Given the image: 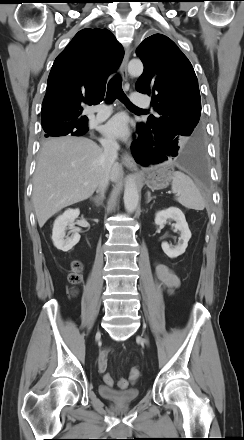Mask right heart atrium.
<instances>
[{
    "mask_svg": "<svg viewBox=\"0 0 244 440\" xmlns=\"http://www.w3.org/2000/svg\"><path fill=\"white\" fill-rule=\"evenodd\" d=\"M102 142H103L104 144H106V145H111V144H112L111 140H109V139H107V138H103V139H102Z\"/></svg>",
    "mask_w": 244,
    "mask_h": 440,
    "instance_id": "1",
    "label": "right heart atrium"
}]
</instances>
